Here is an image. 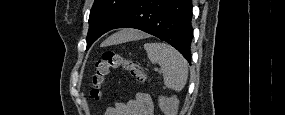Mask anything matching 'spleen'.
<instances>
[{
    "label": "spleen",
    "mask_w": 285,
    "mask_h": 115,
    "mask_svg": "<svg viewBox=\"0 0 285 115\" xmlns=\"http://www.w3.org/2000/svg\"><path fill=\"white\" fill-rule=\"evenodd\" d=\"M120 35L121 32L115 34V36ZM144 49L149 60L160 65L165 86L181 91L188 78V63L185 58L175 48L161 42L146 43Z\"/></svg>",
    "instance_id": "1"
}]
</instances>
